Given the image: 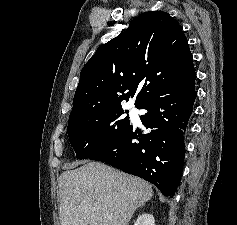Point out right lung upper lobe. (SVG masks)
Instances as JSON below:
<instances>
[{"mask_svg": "<svg viewBox=\"0 0 237 225\" xmlns=\"http://www.w3.org/2000/svg\"><path fill=\"white\" fill-rule=\"evenodd\" d=\"M195 79L181 26L166 12L143 13L101 45L82 68L68 125L123 110L121 103L137 91L138 108L163 86L185 87Z\"/></svg>", "mask_w": 237, "mask_h": 225, "instance_id": "obj_1", "label": "right lung upper lobe"}]
</instances>
